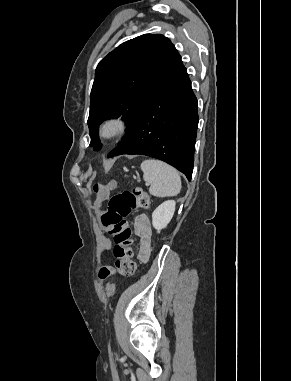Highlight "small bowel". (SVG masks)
Segmentation results:
<instances>
[{
	"mask_svg": "<svg viewBox=\"0 0 291 381\" xmlns=\"http://www.w3.org/2000/svg\"><path fill=\"white\" fill-rule=\"evenodd\" d=\"M135 231L141 241L140 255L144 258L149 252L151 238V226L146 215L142 214L136 218ZM102 248L104 250H109L111 248V242L109 239L104 238L102 240Z\"/></svg>",
	"mask_w": 291,
	"mask_h": 381,
	"instance_id": "c3829d8e",
	"label": "small bowel"
}]
</instances>
